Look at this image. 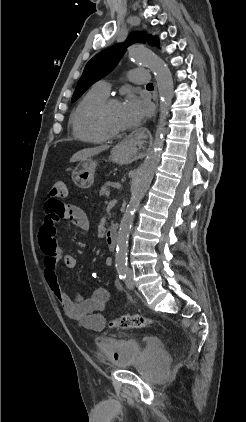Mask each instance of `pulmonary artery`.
<instances>
[{
	"instance_id": "pulmonary-artery-1",
	"label": "pulmonary artery",
	"mask_w": 246,
	"mask_h": 422,
	"mask_svg": "<svg viewBox=\"0 0 246 422\" xmlns=\"http://www.w3.org/2000/svg\"><path fill=\"white\" fill-rule=\"evenodd\" d=\"M130 79L138 84H146L149 82V73L145 69H133L130 71ZM95 87L106 94L109 92V85L105 81H99Z\"/></svg>"
}]
</instances>
